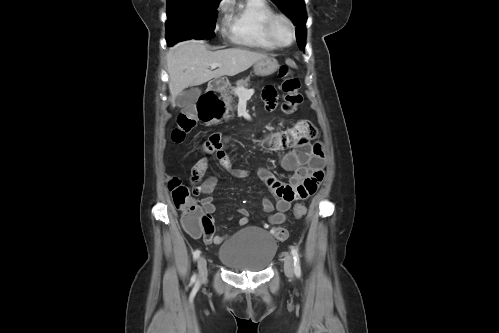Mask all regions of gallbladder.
I'll list each match as a JSON object with an SVG mask.
<instances>
[{"mask_svg":"<svg viewBox=\"0 0 499 333\" xmlns=\"http://www.w3.org/2000/svg\"><path fill=\"white\" fill-rule=\"evenodd\" d=\"M200 94L201 89L197 87L187 89L176 97L175 105L180 108L192 107L197 101Z\"/></svg>","mask_w":499,"mask_h":333,"instance_id":"gallbladder-1","label":"gallbladder"}]
</instances>
